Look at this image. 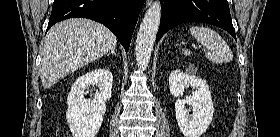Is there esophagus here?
Wrapping results in <instances>:
<instances>
[{"label":"esophagus","instance_id":"esophagus-1","mask_svg":"<svg viewBox=\"0 0 280 137\" xmlns=\"http://www.w3.org/2000/svg\"><path fill=\"white\" fill-rule=\"evenodd\" d=\"M152 3V0H147L146 1V6L148 7Z\"/></svg>","mask_w":280,"mask_h":137}]
</instances>
